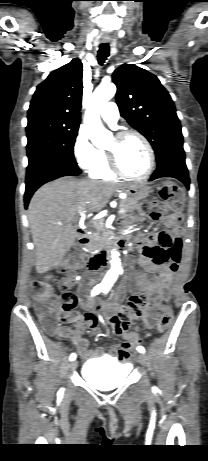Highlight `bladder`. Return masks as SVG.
I'll return each mask as SVG.
<instances>
[{
  "label": "bladder",
  "instance_id": "1",
  "mask_svg": "<svg viewBox=\"0 0 208 461\" xmlns=\"http://www.w3.org/2000/svg\"><path fill=\"white\" fill-rule=\"evenodd\" d=\"M130 366L109 357L90 359L82 368L83 378L101 390H110L125 381Z\"/></svg>",
  "mask_w": 208,
  "mask_h": 461
}]
</instances>
